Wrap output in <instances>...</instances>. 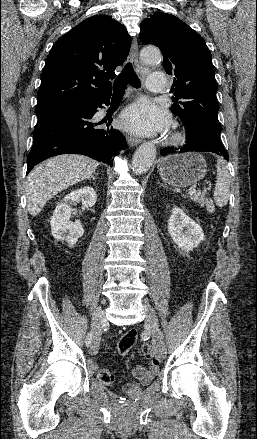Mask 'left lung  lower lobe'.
Returning <instances> with one entry per match:
<instances>
[{"mask_svg": "<svg viewBox=\"0 0 257 439\" xmlns=\"http://www.w3.org/2000/svg\"><path fill=\"white\" fill-rule=\"evenodd\" d=\"M186 127V145L180 148L182 151H205L212 152L219 156H223L226 160L229 159L228 153L225 150L220 136L208 127L196 124L185 125ZM176 148H164L161 151V156L175 153Z\"/></svg>", "mask_w": 257, "mask_h": 439, "instance_id": "1", "label": "left lung lower lobe"}]
</instances>
